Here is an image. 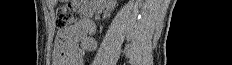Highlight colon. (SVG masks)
I'll list each match as a JSON object with an SVG mask.
<instances>
[{
    "label": "colon",
    "mask_w": 232,
    "mask_h": 65,
    "mask_svg": "<svg viewBox=\"0 0 232 65\" xmlns=\"http://www.w3.org/2000/svg\"><path fill=\"white\" fill-rule=\"evenodd\" d=\"M79 20H80V15L78 11L71 5H65L57 10L55 24L59 30H63L72 27L73 25L78 23ZM56 45H57L59 56L62 58L65 57L66 52L64 50L63 38L58 37Z\"/></svg>",
    "instance_id": "obj_1"
}]
</instances>
